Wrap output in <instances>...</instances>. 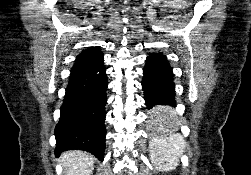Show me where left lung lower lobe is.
<instances>
[{"label": "left lung lower lobe", "instance_id": "1", "mask_svg": "<svg viewBox=\"0 0 251 175\" xmlns=\"http://www.w3.org/2000/svg\"><path fill=\"white\" fill-rule=\"evenodd\" d=\"M142 87L147 109L151 111L148 119L162 122L172 117V107L176 105L173 71L162 53H153L146 59L143 69Z\"/></svg>", "mask_w": 251, "mask_h": 175}]
</instances>
